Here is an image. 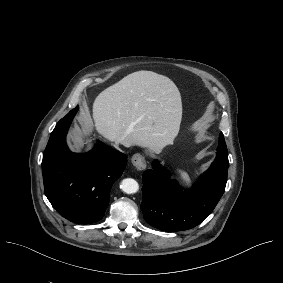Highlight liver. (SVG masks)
<instances>
[{
  "instance_id": "liver-1",
  "label": "liver",
  "mask_w": 283,
  "mask_h": 283,
  "mask_svg": "<svg viewBox=\"0 0 283 283\" xmlns=\"http://www.w3.org/2000/svg\"><path fill=\"white\" fill-rule=\"evenodd\" d=\"M92 118L97 132L109 141L158 153L178 135L181 95L174 82L164 75L144 70L133 72L96 97ZM92 118L83 114L78 120L83 135L91 131ZM72 140L83 145L80 136Z\"/></svg>"
}]
</instances>
